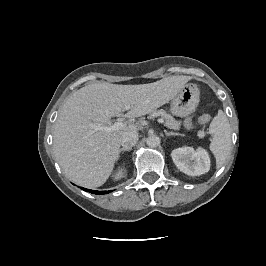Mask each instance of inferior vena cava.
I'll return each mask as SVG.
<instances>
[{"label":"inferior vena cava","instance_id":"obj_1","mask_svg":"<svg viewBox=\"0 0 266 266\" xmlns=\"http://www.w3.org/2000/svg\"><path fill=\"white\" fill-rule=\"evenodd\" d=\"M138 139L139 137L137 132H127L121 137L120 144L125 149H131L133 146L136 145Z\"/></svg>","mask_w":266,"mask_h":266}]
</instances>
